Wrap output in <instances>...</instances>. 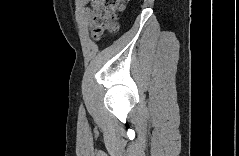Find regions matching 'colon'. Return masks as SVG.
<instances>
[{
    "mask_svg": "<svg viewBox=\"0 0 239 156\" xmlns=\"http://www.w3.org/2000/svg\"><path fill=\"white\" fill-rule=\"evenodd\" d=\"M123 8L124 4L118 0H93L88 10L93 36L99 38L105 31H117L118 12Z\"/></svg>",
    "mask_w": 239,
    "mask_h": 156,
    "instance_id": "5ec220e1",
    "label": "colon"
}]
</instances>
